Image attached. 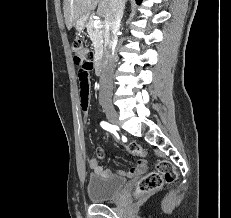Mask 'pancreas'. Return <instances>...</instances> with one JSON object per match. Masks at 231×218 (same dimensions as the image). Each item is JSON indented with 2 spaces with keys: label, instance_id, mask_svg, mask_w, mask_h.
<instances>
[{
  "label": "pancreas",
  "instance_id": "cf45deb5",
  "mask_svg": "<svg viewBox=\"0 0 231 218\" xmlns=\"http://www.w3.org/2000/svg\"><path fill=\"white\" fill-rule=\"evenodd\" d=\"M94 19L88 18L86 28L90 39L92 40L96 53L101 52L103 47L104 31L102 26L94 27Z\"/></svg>",
  "mask_w": 231,
  "mask_h": 218
}]
</instances>
